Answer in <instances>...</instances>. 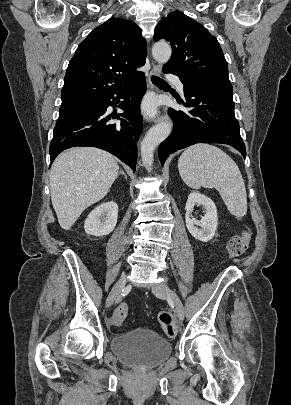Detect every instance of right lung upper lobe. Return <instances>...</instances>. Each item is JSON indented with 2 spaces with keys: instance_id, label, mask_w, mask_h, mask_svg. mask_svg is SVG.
<instances>
[{
  "instance_id": "right-lung-upper-lobe-1",
  "label": "right lung upper lobe",
  "mask_w": 291,
  "mask_h": 405,
  "mask_svg": "<svg viewBox=\"0 0 291 405\" xmlns=\"http://www.w3.org/2000/svg\"><path fill=\"white\" fill-rule=\"evenodd\" d=\"M146 41L132 21L110 18L96 27L78 46L69 62L62 103L97 100L127 84L142 72Z\"/></svg>"
}]
</instances>
